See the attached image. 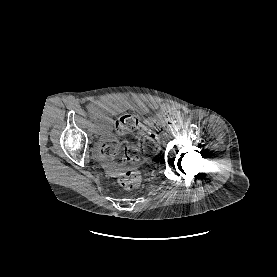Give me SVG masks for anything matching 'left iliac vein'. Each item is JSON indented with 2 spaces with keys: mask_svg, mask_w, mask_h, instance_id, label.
Wrapping results in <instances>:
<instances>
[{
  "mask_svg": "<svg viewBox=\"0 0 277 277\" xmlns=\"http://www.w3.org/2000/svg\"><path fill=\"white\" fill-rule=\"evenodd\" d=\"M169 135H170L171 137H174V136L176 135V130H175L174 128H171V129L169 130Z\"/></svg>",
  "mask_w": 277,
  "mask_h": 277,
  "instance_id": "1",
  "label": "left iliac vein"
}]
</instances>
